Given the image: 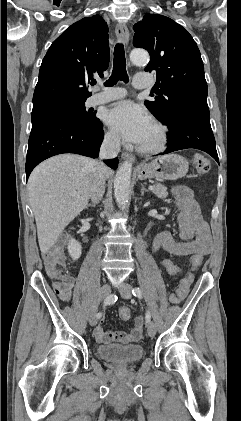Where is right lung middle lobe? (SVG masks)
Masks as SVG:
<instances>
[{
	"label": "right lung middle lobe",
	"mask_w": 241,
	"mask_h": 421,
	"mask_svg": "<svg viewBox=\"0 0 241 421\" xmlns=\"http://www.w3.org/2000/svg\"><path fill=\"white\" fill-rule=\"evenodd\" d=\"M84 103L85 100H59L42 103L37 106H33L31 119L33 122L49 115L65 113L73 116L74 120L83 125L94 127L98 122V118L95 117L94 113L87 112L85 110Z\"/></svg>",
	"instance_id": "right-lung-middle-lobe-1"
}]
</instances>
